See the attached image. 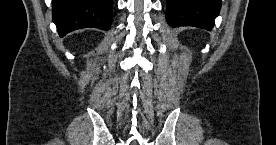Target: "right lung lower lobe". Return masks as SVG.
I'll list each match as a JSON object with an SVG mask.
<instances>
[{
    "label": "right lung lower lobe",
    "instance_id": "obj_1",
    "mask_svg": "<svg viewBox=\"0 0 276 145\" xmlns=\"http://www.w3.org/2000/svg\"><path fill=\"white\" fill-rule=\"evenodd\" d=\"M112 6V0H52V18L60 37L87 27L108 30Z\"/></svg>",
    "mask_w": 276,
    "mask_h": 145
}]
</instances>
